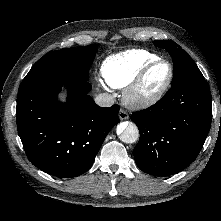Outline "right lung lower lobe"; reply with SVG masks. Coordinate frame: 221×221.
<instances>
[{"instance_id":"98d812e1","label":"right lung lower lobe","mask_w":221,"mask_h":221,"mask_svg":"<svg viewBox=\"0 0 221 221\" xmlns=\"http://www.w3.org/2000/svg\"><path fill=\"white\" fill-rule=\"evenodd\" d=\"M67 88V102L57 95ZM86 80L51 82L19 90L16 119L28 159L57 177H77L93 164L105 137L120 122L119 106H98Z\"/></svg>"}]
</instances>
